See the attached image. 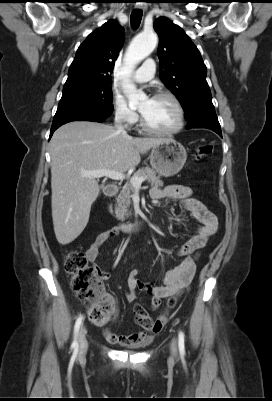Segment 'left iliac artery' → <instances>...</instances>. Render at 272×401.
Listing matches in <instances>:
<instances>
[{"label": "left iliac artery", "mask_w": 272, "mask_h": 401, "mask_svg": "<svg viewBox=\"0 0 272 401\" xmlns=\"http://www.w3.org/2000/svg\"><path fill=\"white\" fill-rule=\"evenodd\" d=\"M178 346L180 353H185V345H184V333L182 331L179 332Z\"/></svg>", "instance_id": "left-iliac-artery-1"}]
</instances>
